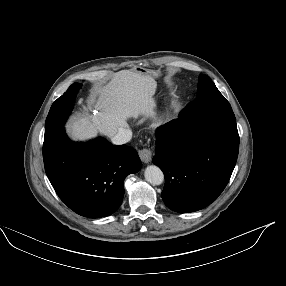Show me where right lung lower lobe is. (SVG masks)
I'll return each mask as SVG.
<instances>
[{
  "instance_id": "right-lung-lower-lobe-1",
  "label": "right lung lower lobe",
  "mask_w": 286,
  "mask_h": 286,
  "mask_svg": "<svg viewBox=\"0 0 286 286\" xmlns=\"http://www.w3.org/2000/svg\"><path fill=\"white\" fill-rule=\"evenodd\" d=\"M43 159L60 199L77 214L91 218L114 213L124 197L125 177L141 169L134 148L112 145L102 137L73 142L64 127L45 135Z\"/></svg>"
}]
</instances>
